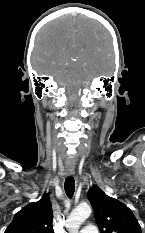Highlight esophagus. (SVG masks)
I'll list each match as a JSON object with an SVG mask.
<instances>
[{
    "instance_id": "obj_1",
    "label": "esophagus",
    "mask_w": 145,
    "mask_h": 233,
    "mask_svg": "<svg viewBox=\"0 0 145 233\" xmlns=\"http://www.w3.org/2000/svg\"><path fill=\"white\" fill-rule=\"evenodd\" d=\"M66 174H67L68 176L73 175V174H74V169H73V168H68V169H66Z\"/></svg>"
}]
</instances>
